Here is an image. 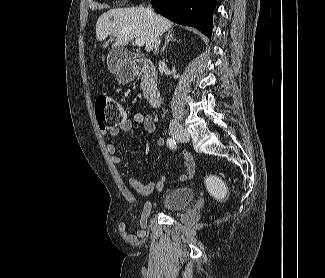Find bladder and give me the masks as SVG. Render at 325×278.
<instances>
[{
  "label": "bladder",
  "mask_w": 325,
  "mask_h": 278,
  "mask_svg": "<svg viewBox=\"0 0 325 278\" xmlns=\"http://www.w3.org/2000/svg\"><path fill=\"white\" fill-rule=\"evenodd\" d=\"M194 193L191 188L179 185L166 191L160 201L164 211L174 212L187 207L193 200Z\"/></svg>",
  "instance_id": "31cf9c89"
}]
</instances>
